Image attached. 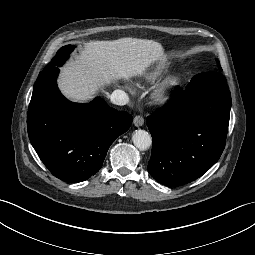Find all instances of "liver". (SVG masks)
<instances>
[{"mask_svg": "<svg viewBox=\"0 0 255 255\" xmlns=\"http://www.w3.org/2000/svg\"><path fill=\"white\" fill-rule=\"evenodd\" d=\"M165 59L162 45L153 40L90 41L61 69L58 85L68 99L86 102L104 85L141 76L153 63Z\"/></svg>", "mask_w": 255, "mask_h": 255, "instance_id": "6515ba94", "label": "liver"}]
</instances>
